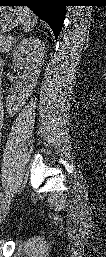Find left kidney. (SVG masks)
<instances>
[{
    "mask_svg": "<svg viewBox=\"0 0 106 257\" xmlns=\"http://www.w3.org/2000/svg\"><path fill=\"white\" fill-rule=\"evenodd\" d=\"M45 53V45L38 38L30 37L23 39L15 48L13 52V65L16 67L25 65L24 74L21 77L24 81V87L21 91L20 97L8 96L7 107L9 110H16V101H21V95L27 94V92L33 88L37 78L40 74V68L43 63V57Z\"/></svg>",
    "mask_w": 106,
    "mask_h": 257,
    "instance_id": "1",
    "label": "left kidney"
}]
</instances>
